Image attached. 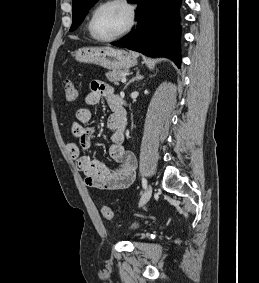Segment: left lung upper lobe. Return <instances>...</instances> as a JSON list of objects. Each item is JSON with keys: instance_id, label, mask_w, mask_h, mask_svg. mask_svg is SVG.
Listing matches in <instances>:
<instances>
[{"instance_id": "1", "label": "left lung upper lobe", "mask_w": 259, "mask_h": 283, "mask_svg": "<svg viewBox=\"0 0 259 283\" xmlns=\"http://www.w3.org/2000/svg\"><path fill=\"white\" fill-rule=\"evenodd\" d=\"M97 0H72V26L70 31L75 30L86 16L87 11ZM133 1V0H128Z\"/></svg>"}]
</instances>
